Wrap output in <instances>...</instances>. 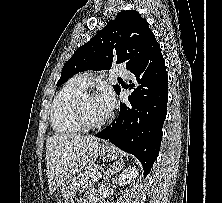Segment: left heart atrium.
<instances>
[{"label":"left heart atrium","instance_id":"left-heart-atrium-1","mask_svg":"<svg viewBox=\"0 0 222 203\" xmlns=\"http://www.w3.org/2000/svg\"><path fill=\"white\" fill-rule=\"evenodd\" d=\"M104 108L110 112L114 105V97L112 93L108 90L103 91L97 96Z\"/></svg>","mask_w":222,"mask_h":203}]
</instances>
